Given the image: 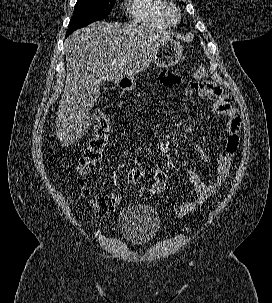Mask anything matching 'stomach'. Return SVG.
Returning a JSON list of instances; mask_svg holds the SVG:
<instances>
[{
  "label": "stomach",
  "instance_id": "0dacf381",
  "mask_svg": "<svg viewBox=\"0 0 272 303\" xmlns=\"http://www.w3.org/2000/svg\"><path fill=\"white\" fill-rule=\"evenodd\" d=\"M183 53V46L173 39L164 41L158 48L154 63L160 68H166L176 65ZM119 88L123 90H131L135 85V78L128 77L117 81Z\"/></svg>",
  "mask_w": 272,
  "mask_h": 303
}]
</instances>
